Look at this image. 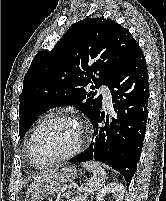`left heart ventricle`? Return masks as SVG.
Wrapping results in <instances>:
<instances>
[{
  "instance_id": "left-heart-ventricle-1",
  "label": "left heart ventricle",
  "mask_w": 166,
  "mask_h": 201,
  "mask_svg": "<svg viewBox=\"0 0 166 201\" xmlns=\"http://www.w3.org/2000/svg\"><path fill=\"white\" fill-rule=\"evenodd\" d=\"M80 127L72 121H54L43 126L33 143V158L38 165L67 154L78 144Z\"/></svg>"
}]
</instances>
